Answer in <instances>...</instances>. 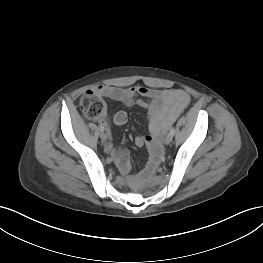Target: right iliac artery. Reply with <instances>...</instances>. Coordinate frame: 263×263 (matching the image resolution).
<instances>
[{
    "instance_id": "82829eb1",
    "label": "right iliac artery",
    "mask_w": 263,
    "mask_h": 263,
    "mask_svg": "<svg viewBox=\"0 0 263 263\" xmlns=\"http://www.w3.org/2000/svg\"><path fill=\"white\" fill-rule=\"evenodd\" d=\"M99 129H100V131H104V130H105V128H104L103 125H100V126H99Z\"/></svg>"
}]
</instances>
